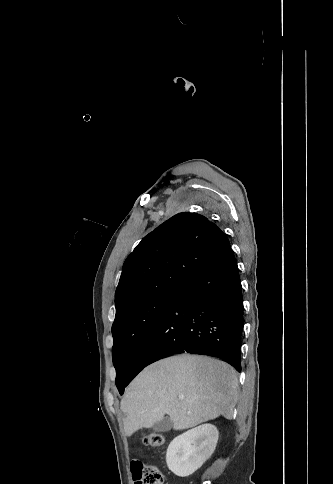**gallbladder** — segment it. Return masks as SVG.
Returning a JSON list of instances; mask_svg holds the SVG:
<instances>
[{"label":"gallbladder","mask_w":333,"mask_h":484,"mask_svg":"<svg viewBox=\"0 0 333 484\" xmlns=\"http://www.w3.org/2000/svg\"><path fill=\"white\" fill-rule=\"evenodd\" d=\"M173 423L169 417H164L162 420L156 422L152 429L155 432L165 433L171 430Z\"/></svg>","instance_id":"bac80fb5"}]
</instances>
